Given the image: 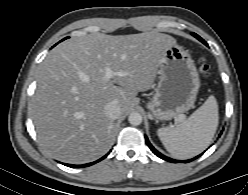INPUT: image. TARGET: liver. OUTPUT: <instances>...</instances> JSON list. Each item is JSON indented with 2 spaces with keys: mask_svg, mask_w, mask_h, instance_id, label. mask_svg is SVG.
<instances>
[{
  "mask_svg": "<svg viewBox=\"0 0 248 195\" xmlns=\"http://www.w3.org/2000/svg\"><path fill=\"white\" fill-rule=\"evenodd\" d=\"M174 44L172 36L150 31L89 34L53 48L39 67L30 108L43 149L72 164L107 153L114 125L104 114L105 105L116 101L121 114L128 112L138 92L152 87L165 50ZM106 67L124 75L106 81Z\"/></svg>",
  "mask_w": 248,
  "mask_h": 195,
  "instance_id": "1",
  "label": "liver"
}]
</instances>
